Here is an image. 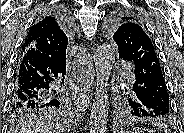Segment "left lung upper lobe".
<instances>
[{
	"label": "left lung upper lobe",
	"instance_id": "1",
	"mask_svg": "<svg viewBox=\"0 0 184 133\" xmlns=\"http://www.w3.org/2000/svg\"><path fill=\"white\" fill-rule=\"evenodd\" d=\"M108 34L118 45L119 58L135 63L141 57L153 61L160 68L155 47L142 22L131 13L121 12L116 14L108 24ZM127 92V90H126ZM129 100L125 101L126 111L130 114V104L134 100L128 92Z\"/></svg>",
	"mask_w": 184,
	"mask_h": 133
}]
</instances>
